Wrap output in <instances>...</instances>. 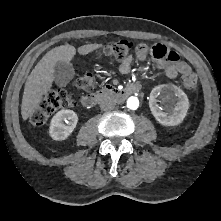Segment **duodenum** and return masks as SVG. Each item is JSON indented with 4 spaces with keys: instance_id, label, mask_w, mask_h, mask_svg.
Masks as SVG:
<instances>
[{
    "instance_id": "obj_1",
    "label": "duodenum",
    "mask_w": 221,
    "mask_h": 221,
    "mask_svg": "<svg viewBox=\"0 0 221 221\" xmlns=\"http://www.w3.org/2000/svg\"><path fill=\"white\" fill-rule=\"evenodd\" d=\"M140 86L137 84H131L124 89H118L111 86H106L95 93L85 95L82 98V104L84 106L90 107L98 103L101 99L106 97H111L116 100H123L126 97L138 93Z\"/></svg>"
}]
</instances>
